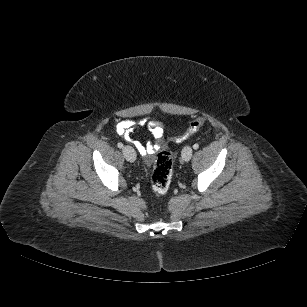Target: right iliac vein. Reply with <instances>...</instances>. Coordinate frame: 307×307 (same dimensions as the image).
Instances as JSON below:
<instances>
[{"label":"right iliac vein","mask_w":307,"mask_h":307,"mask_svg":"<svg viewBox=\"0 0 307 307\" xmlns=\"http://www.w3.org/2000/svg\"><path fill=\"white\" fill-rule=\"evenodd\" d=\"M122 152L127 161L134 162L136 160V153L132 147L125 146L123 147Z\"/></svg>","instance_id":"1"}]
</instances>
